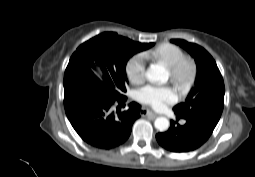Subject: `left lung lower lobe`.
I'll list each match as a JSON object with an SVG mask.
<instances>
[{"mask_svg":"<svg viewBox=\"0 0 255 177\" xmlns=\"http://www.w3.org/2000/svg\"><path fill=\"white\" fill-rule=\"evenodd\" d=\"M184 119V125H175V122L171 121L168 131L156 134V139L163 148L175 153L193 151L208 140L215 128V125L204 121Z\"/></svg>","mask_w":255,"mask_h":177,"instance_id":"left-lung-lower-lobe-1","label":"left lung lower lobe"}]
</instances>
